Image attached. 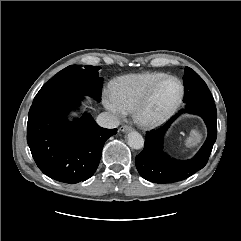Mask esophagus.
I'll return each mask as SVG.
<instances>
[{
  "mask_svg": "<svg viewBox=\"0 0 241 241\" xmlns=\"http://www.w3.org/2000/svg\"><path fill=\"white\" fill-rule=\"evenodd\" d=\"M132 128L130 126H127V125H123L120 127V131L121 132H128V131H131Z\"/></svg>",
  "mask_w": 241,
  "mask_h": 241,
  "instance_id": "34e87169",
  "label": "esophagus"
}]
</instances>
